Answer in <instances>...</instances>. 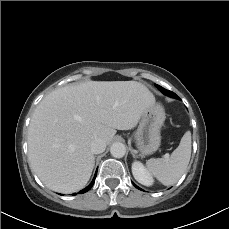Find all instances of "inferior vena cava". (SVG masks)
<instances>
[{
	"instance_id": "602c4592",
	"label": "inferior vena cava",
	"mask_w": 229,
	"mask_h": 229,
	"mask_svg": "<svg viewBox=\"0 0 229 229\" xmlns=\"http://www.w3.org/2000/svg\"><path fill=\"white\" fill-rule=\"evenodd\" d=\"M106 149V141L102 138H96L91 143V151L94 154H100Z\"/></svg>"
}]
</instances>
